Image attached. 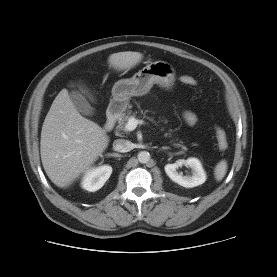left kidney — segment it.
Segmentation results:
<instances>
[{"mask_svg": "<svg viewBox=\"0 0 277 277\" xmlns=\"http://www.w3.org/2000/svg\"><path fill=\"white\" fill-rule=\"evenodd\" d=\"M182 165H186L192 169L191 176H183L177 172V169ZM164 169L172 181L186 188L199 186L206 181V173L202 167L201 162L197 158L178 160L173 164L165 165Z\"/></svg>", "mask_w": 277, "mask_h": 277, "instance_id": "left-kidney-1", "label": "left kidney"}]
</instances>
